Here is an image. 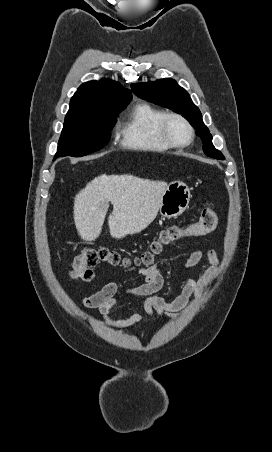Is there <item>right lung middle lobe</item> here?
Here are the masks:
<instances>
[{
	"mask_svg": "<svg viewBox=\"0 0 272 452\" xmlns=\"http://www.w3.org/2000/svg\"><path fill=\"white\" fill-rule=\"evenodd\" d=\"M128 103L105 108L91 116L65 120L54 160L81 157L103 148L110 140L116 116Z\"/></svg>",
	"mask_w": 272,
	"mask_h": 452,
	"instance_id": "right-lung-middle-lobe-1",
	"label": "right lung middle lobe"
}]
</instances>
